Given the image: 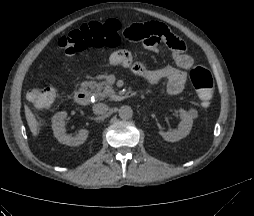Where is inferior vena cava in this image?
Returning a JSON list of instances; mask_svg holds the SVG:
<instances>
[{
  "label": "inferior vena cava",
  "instance_id": "obj_1",
  "mask_svg": "<svg viewBox=\"0 0 254 216\" xmlns=\"http://www.w3.org/2000/svg\"><path fill=\"white\" fill-rule=\"evenodd\" d=\"M109 110L108 106L104 103H97L93 106V113L96 115H103Z\"/></svg>",
  "mask_w": 254,
  "mask_h": 216
}]
</instances>
